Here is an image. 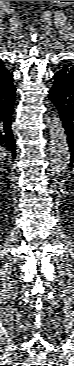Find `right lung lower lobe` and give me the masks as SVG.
Instances as JSON below:
<instances>
[{
	"label": "right lung lower lobe",
	"instance_id": "right-lung-lower-lobe-1",
	"mask_svg": "<svg viewBox=\"0 0 74 366\" xmlns=\"http://www.w3.org/2000/svg\"><path fill=\"white\" fill-rule=\"evenodd\" d=\"M15 87L13 75L0 81V148L4 147L16 157V145L11 130L12 114L15 104Z\"/></svg>",
	"mask_w": 74,
	"mask_h": 366
}]
</instances>
